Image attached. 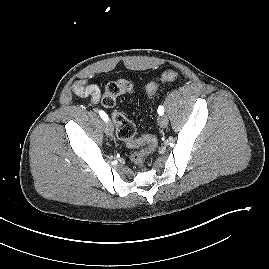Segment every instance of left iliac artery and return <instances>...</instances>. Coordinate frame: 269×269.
Listing matches in <instances>:
<instances>
[{
  "label": "left iliac artery",
  "instance_id": "left-iliac-artery-1",
  "mask_svg": "<svg viewBox=\"0 0 269 269\" xmlns=\"http://www.w3.org/2000/svg\"><path fill=\"white\" fill-rule=\"evenodd\" d=\"M158 114L159 115H163L164 114V107L162 106V105H160L159 107H158Z\"/></svg>",
  "mask_w": 269,
  "mask_h": 269
}]
</instances>
